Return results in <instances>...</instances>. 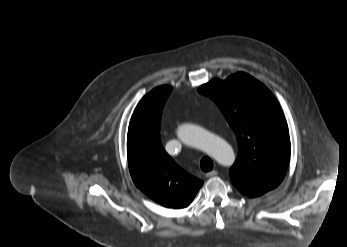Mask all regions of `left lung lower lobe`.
<instances>
[{"instance_id": "1", "label": "left lung lower lobe", "mask_w": 347, "mask_h": 247, "mask_svg": "<svg viewBox=\"0 0 347 247\" xmlns=\"http://www.w3.org/2000/svg\"><path fill=\"white\" fill-rule=\"evenodd\" d=\"M237 188L239 189V191L242 194L247 195L248 197H257V196H260V195L264 194L261 191L252 190V189L244 188V187H241V186H239Z\"/></svg>"}]
</instances>
